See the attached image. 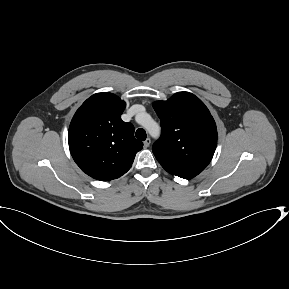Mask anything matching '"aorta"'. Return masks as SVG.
<instances>
[{
	"label": "aorta",
	"instance_id": "aorta-1",
	"mask_svg": "<svg viewBox=\"0 0 289 289\" xmlns=\"http://www.w3.org/2000/svg\"><path fill=\"white\" fill-rule=\"evenodd\" d=\"M139 123L146 128L151 136L157 137L159 135V125L148 114H142V120Z\"/></svg>",
	"mask_w": 289,
	"mask_h": 289
}]
</instances>
